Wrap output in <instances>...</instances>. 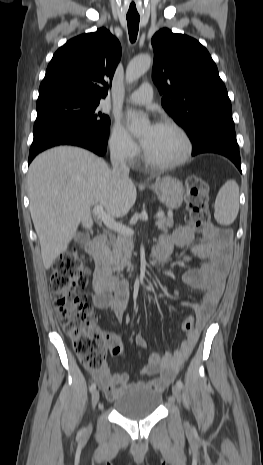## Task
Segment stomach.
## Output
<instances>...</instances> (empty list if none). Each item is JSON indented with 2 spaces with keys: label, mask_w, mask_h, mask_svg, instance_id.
Returning <instances> with one entry per match:
<instances>
[{
  "label": "stomach",
  "mask_w": 263,
  "mask_h": 465,
  "mask_svg": "<svg viewBox=\"0 0 263 465\" xmlns=\"http://www.w3.org/2000/svg\"><path fill=\"white\" fill-rule=\"evenodd\" d=\"M151 189L166 207L178 209L182 205L184 188L178 179L174 177L159 178L151 186Z\"/></svg>",
  "instance_id": "0dacf381"
}]
</instances>
